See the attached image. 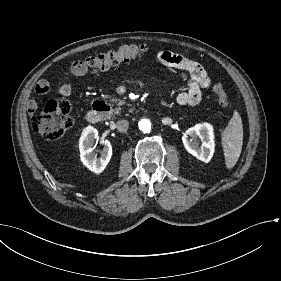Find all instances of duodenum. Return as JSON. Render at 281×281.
<instances>
[{"label": "duodenum", "instance_id": "duodenum-1", "mask_svg": "<svg viewBox=\"0 0 281 281\" xmlns=\"http://www.w3.org/2000/svg\"><path fill=\"white\" fill-rule=\"evenodd\" d=\"M109 111V106L104 101H96L91 109L87 112L86 119L89 123L95 124L100 122Z\"/></svg>", "mask_w": 281, "mask_h": 281}]
</instances>
